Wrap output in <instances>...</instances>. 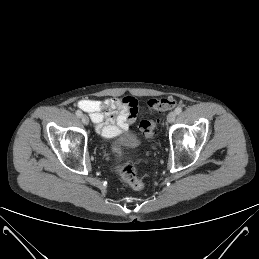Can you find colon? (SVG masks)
I'll list each match as a JSON object with an SVG mask.
<instances>
[{
    "label": "colon",
    "mask_w": 259,
    "mask_h": 259,
    "mask_svg": "<svg viewBox=\"0 0 259 259\" xmlns=\"http://www.w3.org/2000/svg\"><path fill=\"white\" fill-rule=\"evenodd\" d=\"M177 104L175 98L169 96L160 99H151L147 103V114L151 115L154 112L167 111L173 109ZM156 122L147 117L139 124V129L146 139H151L154 136ZM112 152L116 159L121 158V149L114 145ZM118 172L121 180L134 190H141L144 187L143 180L139 177L136 168L131 163H121L118 165Z\"/></svg>",
    "instance_id": "obj_1"
}]
</instances>
